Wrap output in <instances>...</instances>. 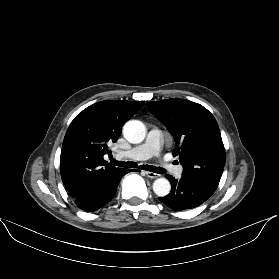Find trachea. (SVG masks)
<instances>
[{
	"instance_id": "obj_1",
	"label": "trachea",
	"mask_w": 279,
	"mask_h": 279,
	"mask_svg": "<svg viewBox=\"0 0 279 279\" xmlns=\"http://www.w3.org/2000/svg\"><path fill=\"white\" fill-rule=\"evenodd\" d=\"M111 164L119 167H126V168H136L137 163L136 162H122V161H117L114 158H111ZM140 169L150 171L153 173H158V174H163L166 172L165 169L160 168V167H155V166H150V165H140Z\"/></svg>"
}]
</instances>
